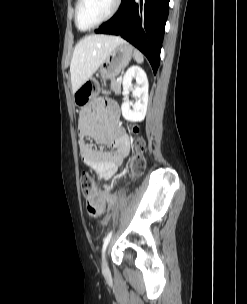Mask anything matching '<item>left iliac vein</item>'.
<instances>
[{"label":"left iliac vein","instance_id":"4c4485c4","mask_svg":"<svg viewBox=\"0 0 247 304\" xmlns=\"http://www.w3.org/2000/svg\"><path fill=\"white\" fill-rule=\"evenodd\" d=\"M102 271L104 274L108 273V266H107L105 255L103 256Z\"/></svg>","mask_w":247,"mask_h":304}]
</instances>
